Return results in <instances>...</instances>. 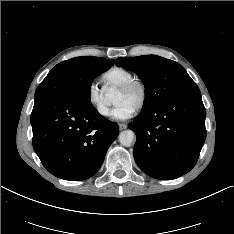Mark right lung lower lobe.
<instances>
[{
    "mask_svg": "<svg viewBox=\"0 0 234 234\" xmlns=\"http://www.w3.org/2000/svg\"><path fill=\"white\" fill-rule=\"evenodd\" d=\"M33 148L56 177L79 181L93 176L119 134L117 123L62 95L35 98L31 113Z\"/></svg>",
    "mask_w": 234,
    "mask_h": 234,
    "instance_id": "right-lung-lower-lobe-1",
    "label": "right lung lower lobe"
}]
</instances>
